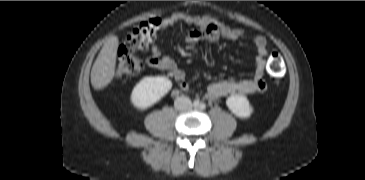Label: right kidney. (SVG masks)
<instances>
[{"mask_svg": "<svg viewBox=\"0 0 365 180\" xmlns=\"http://www.w3.org/2000/svg\"><path fill=\"white\" fill-rule=\"evenodd\" d=\"M172 88V82L164 76L144 77L133 88L130 101L138 110H146Z\"/></svg>", "mask_w": 365, "mask_h": 180, "instance_id": "obj_1", "label": "right kidney"}]
</instances>
